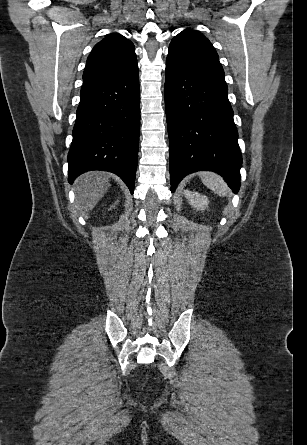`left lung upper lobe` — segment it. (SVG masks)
Returning a JSON list of instances; mask_svg holds the SVG:
<instances>
[{
  "instance_id": "obj_1",
  "label": "left lung upper lobe",
  "mask_w": 307,
  "mask_h": 445,
  "mask_svg": "<svg viewBox=\"0 0 307 445\" xmlns=\"http://www.w3.org/2000/svg\"><path fill=\"white\" fill-rule=\"evenodd\" d=\"M167 58L200 78L227 88L218 54L211 42L200 32L191 29L180 32L172 39Z\"/></svg>"
}]
</instances>
